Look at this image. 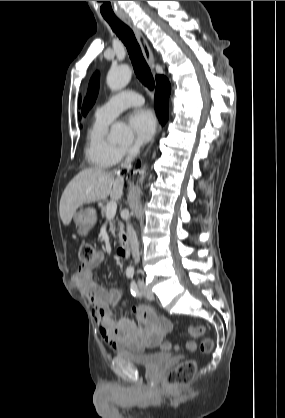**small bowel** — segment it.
<instances>
[{"label":"small bowel","mask_w":285,"mask_h":418,"mask_svg":"<svg viewBox=\"0 0 285 418\" xmlns=\"http://www.w3.org/2000/svg\"><path fill=\"white\" fill-rule=\"evenodd\" d=\"M103 263L104 256L99 253L95 262L80 265L74 275L92 305L100 336L116 350L124 347L134 350L157 347L171 331L172 324L147 305L133 307L135 319L125 313L114 314L111 307L120 303L119 293L99 285L95 279V270ZM187 349L194 352L197 344L189 341Z\"/></svg>","instance_id":"1"}]
</instances>
